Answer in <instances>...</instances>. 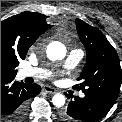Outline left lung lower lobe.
I'll use <instances>...</instances> for the list:
<instances>
[{
    "label": "left lung lower lobe",
    "instance_id": "0a47b994",
    "mask_svg": "<svg viewBox=\"0 0 122 122\" xmlns=\"http://www.w3.org/2000/svg\"><path fill=\"white\" fill-rule=\"evenodd\" d=\"M114 103L115 101L107 97L85 93L84 98L75 97L71 100L61 117L65 122H94L104 117Z\"/></svg>",
    "mask_w": 122,
    "mask_h": 122
}]
</instances>
